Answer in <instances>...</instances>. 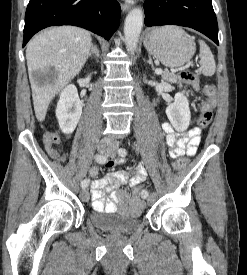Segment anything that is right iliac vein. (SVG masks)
I'll return each instance as SVG.
<instances>
[{"label": "right iliac vein", "mask_w": 247, "mask_h": 275, "mask_svg": "<svg viewBox=\"0 0 247 275\" xmlns=\"http://www.w3.org/2000/svg\"><path fill=\"white\" fill-rule=\"evenodd\" d=\"M97 150L99 153L106 154L109 152V143L106 140H102L99 142L97 146ZM80 197L82 201L87 202L89 200V192L86 188H83L80 192Z\"/></svg>", "instance_id": "right-iliac-vein-1"}]
</instances>
